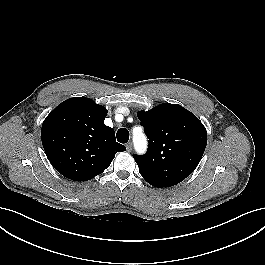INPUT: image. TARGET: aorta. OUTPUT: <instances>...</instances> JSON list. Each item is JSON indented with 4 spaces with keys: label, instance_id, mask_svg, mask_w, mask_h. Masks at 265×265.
Instances as JSON below:
<instances>
[{
    "label": "aorta",
    "instance_id": "obj_1",
    "mask_svg": "<svg viewBox=\"0 0 265 265\" xmlns=\"http://www.w3.org/2000/svg\"><path fill=\"white\" fill-rule=\"evenodd\" d=\"M135 147L138 151H143L146 148V139L143 134L134 135Z\"/></svg>",
    "mask_w": 265,
    "mask_h": 265
}]
</instances>
